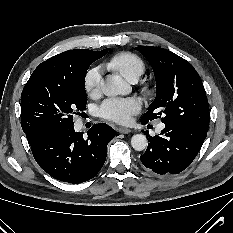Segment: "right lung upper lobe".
Wrapping results in <instances>:
<instances>
[{
    "label": "right lung upper lobe",
    "mask_w": 233,
    "mask_h": 233,
    "mask_svg": "<svg viewBox=\"0 0 233 233\" xmlns=\"http://www.w3.org/2000/svg\"><path fill=\"white\" fill-rule=\"evenodd\" d=\"M108 52V48L102 51H92L88 49H74L57 54L42 62L31 76H49L56 78H67L72 75L73 65L83 58L103 57Z\"/></svg>",
    "instance_id": "cb5924a9"
}]
</instances>
